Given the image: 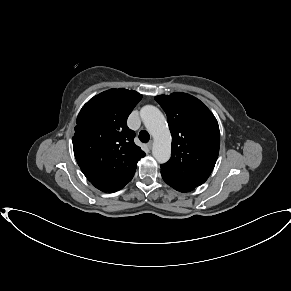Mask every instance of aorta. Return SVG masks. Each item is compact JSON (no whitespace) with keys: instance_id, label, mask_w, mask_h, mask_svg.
<instances>
[{"instance_id":"aorta-1","label":"aorta","mask_w":291,"mask_h":291,"mask_svg":"<svg viewBox=\"0 0 291 291\" xmlns=\"http://www.w3.org/2000/svg\"><path fill=\"white\" fill-rule=\"evenodd\" d=\"M141 119L154 138L152 154L158 163H165L171 155V134L162 112L155 106L146 105L140 110Z\"/></svg>"}]
</instances>
